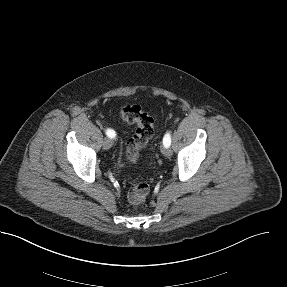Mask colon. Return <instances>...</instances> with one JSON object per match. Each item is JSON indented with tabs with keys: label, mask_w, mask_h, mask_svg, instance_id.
Returning <instances> with one entry per match:
<instances>
[{
	"label": "colon",
	"mask_w": 287,
	"mask_h": 287,
	"mask_svg": "<svg viewBox=\"0 0 287 287\" xmlns=\"http://www.w3.org/2000/svg\"><path fill=\"white\" fill-rule=\"evenodd\" d=\"M120 117L128 123L136 125L135 134L127 141L126 157L134 163L154 134V120L138 105H128L120 110ZM149 193V185L146 182L135 183L129 190L128 199L133 205L141 204Z\"/></svg>",
	"instance_id": "colon-1"
}]
</instances>
